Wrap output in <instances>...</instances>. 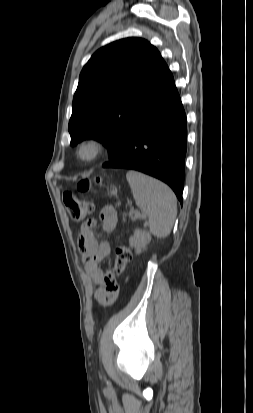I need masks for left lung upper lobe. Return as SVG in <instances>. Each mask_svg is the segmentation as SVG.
Masks as SVG:
<instances>
[{
  "instance_id": "5c2ea615",
  "label": "left lung upper lobe",
  "mask_w": 253,
  "mask_h": 413,
  "mask_svg": "<svg viewBox=\"0 0 253 413\" xmlns=\"http://www.w3.org/2000/svg\"><path fill=\"white\" fill-rule=\"evenodd\" d=\"M168 70L159 51L141 38H126L97 50L83 67L69 121L71 145L96 139L119 153L127 122L136 115Z\"/></svg>"
}]
</instances>
